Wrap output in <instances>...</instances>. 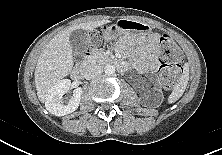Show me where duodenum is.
<instances>
[{
    "instance_id": "duodenum-1",
    "label": "duodenum",
    "mask_w": 222,
    "mask_h": 155,
    "mask_svg": "<svg viewBox=\"0 0 222 155\" xmlns=\"http://www.w3.org/2000/svg\"><path fill=\"white\" fill-rule=\"evenodd\" d=\"M91 57L92 55L90 53H86L84 59L74 67L72 71L73 79L80 80L83 77V74L87 66V62L90 60Z\"/></svg>"
}]
</instances>
